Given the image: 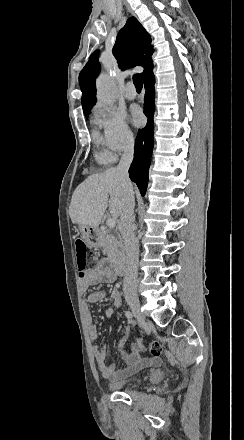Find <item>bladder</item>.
Instances as JSON below:
<instances>
[{"label":"bladder","mask_w":244,"mask_h":440,"mask_svg":"<svg viewBox=\"0 0 244 440\" xmlns=\"http://www.w3.org/2000/svg\"><path fill=\"white\" fill-rule=\"evenodd\" d=\"M142 381H143V378L134 377V378H130L129 380H127V383H129L131 386H135ZM124 384H125V382H123V383L109 382V387L116 390V391H124L125 390Z\"/></svg>","instance_id":"31cf9c89"}]
</instances>
